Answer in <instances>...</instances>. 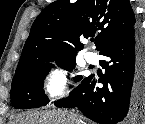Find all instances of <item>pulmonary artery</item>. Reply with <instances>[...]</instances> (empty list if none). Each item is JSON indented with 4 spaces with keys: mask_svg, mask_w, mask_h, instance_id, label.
Segmentation results:
<instances>
[{
    "mask_svg": "<svg viewBox=\"0 0 145 124\" xmlns=\"http://www.w3.org/2000/svg\"><path fill=\"white\" fill-rule=\"evenodd\" d=\"M85 59L88 63H91V64L96 63L98 60L97 55L93 52H87L85 54Z\"/></svg>",
    "mask_w": 145,
    "mask_h": 124,
    "instance_id": "e3ab8cb5",
    "label": "pulmonary artery"
}]
</instances>
